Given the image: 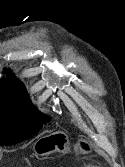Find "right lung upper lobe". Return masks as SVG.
Instances as JSON below:
<instances>
[{
  "label": "right lung upper lobe",
  "mask_w": 125,
  "mask_h": 167,
  "mask_svg": "<svg viewBox=\"0 0 125 167\" xmlns=\"http://www.w3.org/2000/svg\"><path fill=\"white\" fill-rule=\"evenodd\" d=\"M0 97L29 99L24 84L17 79L11 78L0 80Z\"/></svg>",
  "instance_id": "obj_1"
}]
</instances>
